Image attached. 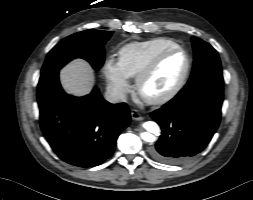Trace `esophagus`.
<instances>
[{"label":"esophagus","mask_w":253,"mask_h":200,"mask_svg":"<svg viewBox=\"0 0 253 200\" xmlns=\"http://www.w3.org/2000/svg\"><path fill=\"white\" fill-rule=\"evenodd\" d=\"M131 118H132L133 120H136V121H141V120H143V117H142L138 112H136V111L131 112Z\"/></svg>","instance_id":"34e87169"}]
</instances>
